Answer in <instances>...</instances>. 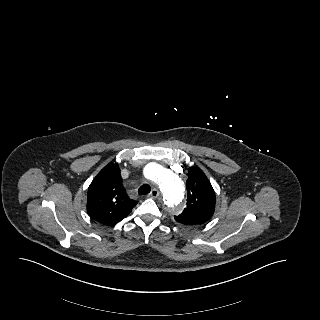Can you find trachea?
I'll use <instances>...</instances> for the list:
<instances>
[{
  "mask_svg": "<svg viewBox=\"0 0 320 320\" xmlns=\"http://www.w3.org/2000/svg\"><path fill=\"white\" fill-rule=\"evenodd\" d=\"M138 192L140 195L148 194L150 192V186L148 184H143Z\"/></svg>",
  "mask_w": 320,
  "mask_h": 320,
  "instance_id": "3493384b",
  "label": "trachea"
}]
</instances>
